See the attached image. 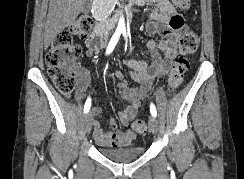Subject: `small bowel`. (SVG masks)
<instances>
[{
    "label": "small bowel",
    "mask_w": 244,
    "mask_h": 179,
    "mask_svg": "<svg viewBox=\"0 0 244 179\" xmlns=\"http://www.w3.org/2000/svg\"><path fill=\"white\" fill-rule=\"evenodd\" d=\"M147 4L153 7L151 19L145 24V31L151 37L146 42L147 59L139 61L130 58L125 59L127 66L132 69L131 78L139 82L140 87H129L122 72L116 71L114 73V77L118 79L119 94L122 99L128 102L127 107L119 114V121L126 129L124 131L115 130L116 122L112 118L105 125H102L100 121L95 119V116L101 113V109L94 107L91 111L93 137L101 147H125L133 141L135 133L132 129V119L135 117L152 83L169 72L176 56V43L183 27L182 16L169 1L138 2L141 7ZM157 35L162 37L159 42L154 38ZM86 48L87 57H92L97 50L90 45L89 39L86 40ZM93 74L90 67L76 69L78 89L75 93V100L77 102L84 100ZM66 96L70 97L69 94Z\"/></svg>",
    "instance_id": "obj_1"
}]
</instances>
